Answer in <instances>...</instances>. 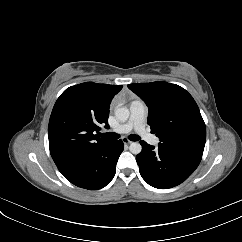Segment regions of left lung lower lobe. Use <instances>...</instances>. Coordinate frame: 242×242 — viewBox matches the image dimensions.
Instances as JSON below:
<instances>
[{
    "label": "left lung lower lobe",
    "instance_id": "1",
    "mask_svg": "<svg viewBox=\"0 0 242 242\" xmlns=\"http://www.w3.org/2000/svg\"><path fill=\"white\" fill-rule=\"evenodd\" d=\"M142 151L136 156L142 178L151 186L160 189L172 188L185 181L198 167L201 158L154 148L140 142Z\"/></svg>",
    "mask_w": 242,
    "mask_h": 242
}]
</instances>
